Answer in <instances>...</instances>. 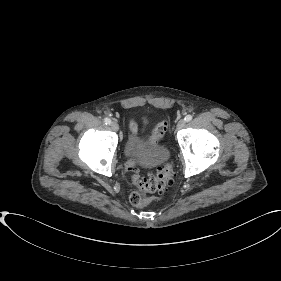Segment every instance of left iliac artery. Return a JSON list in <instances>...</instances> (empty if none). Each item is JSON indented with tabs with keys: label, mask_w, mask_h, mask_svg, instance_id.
<instances>
[{
	"label": "left iliac artery",
	"mask_w": 281,
	"mask_h": 281,
	"mask_svg": "<svg viewBox=\"0 0 281 281\" xmlns=\"http://www.w3.org/2000/svg\"><path fill=\"white\" fill-rule=\"evenodd\" d=\"M184 120H185L186 122L191 121V120H192V115H187V116L184 118Z\"/></svg>",
	"instance_id": "44dca946"
}]
</instances>
